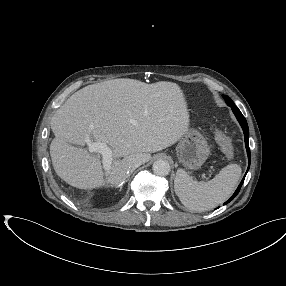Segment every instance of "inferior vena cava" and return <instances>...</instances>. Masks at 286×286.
Returning a JSON list of instances; mask_svg holds the SVG:
<instances>
[{"mask_svg":"<svg viewBox=\"0 0 286 286\" xmlns=\"http://www.w3.org/2000/svg\"><path fill=\"white\" fill-rule=\"evenodd\" d=\"M142 164V161L140 159H135L131 162V165L129 167V172H133L136 168H138Z\"/></svg>","mask_w":286,"mask_h":286,"instance_id":"602c4592","label":"inferior vena cava"}]
</instances>
